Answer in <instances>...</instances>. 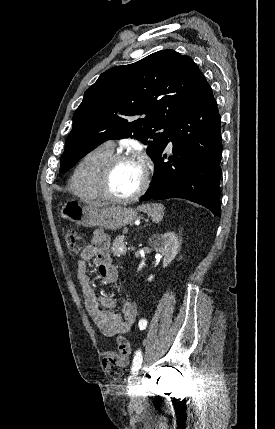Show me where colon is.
Returning a JSON list of instances; mask_svg holds the SVG:
<instances>
[{
  "label": "colon",
  "instance_id": "1",
  "mask_svg": "<svg viewBox=\"0 0 275 429\" xmlns=\"http://www.w3.org/2000/svg\"><path fill=\"white\" fill-rule=\"evenodd\" d=\"M64 240L67 252L71 257L77 256L84 246L83 236L75 231H67ZM117 349V352H106L102 358L104 371L113 379L120 378L125 371L130 355L129 342L124 337H118Z\"/></svg>",
  "mask_w": 275,
  "mask_h": 429
}]
</instances>
